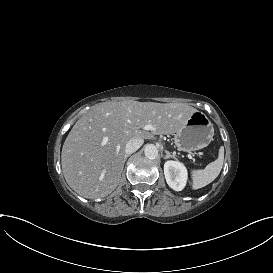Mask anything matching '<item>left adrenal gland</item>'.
I'll return each mask as SVG.
<instances>
[{
	"mask_svg": "<svg viewBox=\"0 0 273 273\" xmlns=\"http://www.w3.org/2000/svg\"><path fill=\"white\" fill-rule=\"evenodd\" d=\"M165 153H166V156L164 157V159L173 158V159L177 160L175 155H172L169 151L165 150Z\"/></svg>",
	"mask_w": 273,
	"mask_h": 273,
	"instance_id": "left-adrenal-gland-1",
	"label": "left adrenal gland"
}]
</instances>
